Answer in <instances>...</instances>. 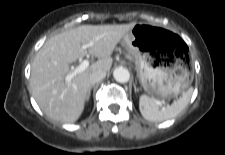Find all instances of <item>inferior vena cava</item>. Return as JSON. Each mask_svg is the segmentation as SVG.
Instances as JSON below:
<instances>
[{
    "label": "inferior vena cava",
    "instance_id": "obj_1",
    "mask_svg": "<svg viewBox=\"0 0 225 155\" xmlns=\"http://www.w3.org/2000/svg\"><path fill=\"white\" fill-rule=\"evenodd\" d=\"M106 76V72L103 70H97L94 71L91 75H90V83L91 84H95L100 82L102 79H104Z\"/></svg>",
    "mask_w": 225,
    "mask_h": 155
}]
</instances>
